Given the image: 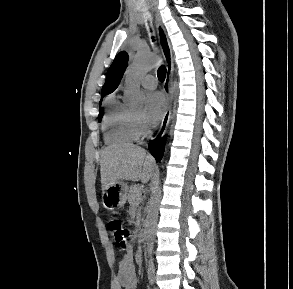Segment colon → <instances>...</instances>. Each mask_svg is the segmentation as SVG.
<instances>
[{
    "label": "colon",
    "mask_w": 293,
    "mask_h": 289,
    "mask_svg": "<svg viewBox=\"0 0 293 289\" xmlns=\"http://www.w3.org/2000/svg\"><path fill=\"white\" fill-rule=\"evenodd\" d=\"M108 228L121 249H127L130 243V232L122 221L110 218L107 222Z\"/></svg>",
    "instance_id": "1"
}]
</instances>
